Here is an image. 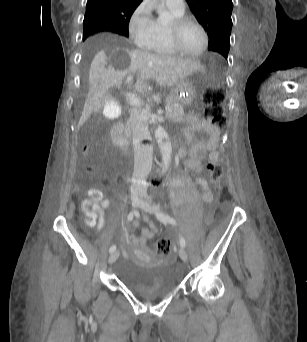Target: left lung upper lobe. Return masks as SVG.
<instances>
[{
	"label": "left lung upper lobe",
	"instance_id": "left-lung-upper-lobe-1",
	"mask_svg": "<svg viewBox=\"0 0 307 342\" xmlns=\"http://www.w3.org/2000/svg\"><path fill=\"white\" fill-rule=\"evenodd\" d=\"M209 35L208 49L226 59L230 49L232 0H186Z\"/></svg>",
	"mask_w": 307,
	"mask_h": 342
}]
</instances>
